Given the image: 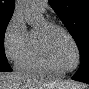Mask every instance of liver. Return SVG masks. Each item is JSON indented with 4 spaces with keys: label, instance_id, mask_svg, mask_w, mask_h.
Segmentation results:
<instances>
[{
    "label": "liver",
    "instance_id": "1",
    "mask_svg": "<svg viewBox=\"0 0 89 89\" xmlns=\"http://www.w3.org/2000/svg\"><path fill=\"white\" fill-rule=\"evenodd\" d=\"M58 81H46L26 74L12 72L0 74V89H79Z\"/></svg>",
    "mask_w": 89,
    "mask_h": 89
}]
</instances>
